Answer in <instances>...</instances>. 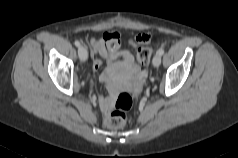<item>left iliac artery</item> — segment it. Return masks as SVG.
<instances>
[{
  "label": "left iliac artery",
  "mask_w": 238,
  "mask_h": 158,
  "mask_svg": "<svg viewBox=\"0 0 238 158\" xmlns=\"http://www.w3.org/2000/svg\"><path fill=\"white\" fill-rule=\"evenodd\" d=\"M158 54L162 56L164 54V49L163 48L159 49Z\"/></svg>",
  "instance_id": "1"
}]
</instances>
